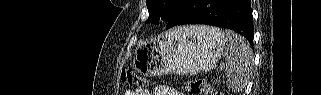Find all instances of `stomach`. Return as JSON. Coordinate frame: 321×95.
Here are the masks:
<instances>
[{
	"instance_id": "stomach-1",
	"label": "stomach",
	"mask_w": 321,
	"mask_h": 95,
	"mask_svg": "<svg viewBox=\"0 0 321 95\" xmlns=\"http://www.w3.org/2000/svg\"><path fill=\"white\" fill-rule=\"evenodd\" d=\"M190 27L175 28L139 46L133 60L136 71L144 76H158L211 70L224 50V40Z\"/></svg>"
}]
</instances>
